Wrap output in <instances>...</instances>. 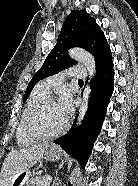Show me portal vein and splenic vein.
<instances>
[{
  "instance_id": "obj_1",
  "label": "portal vein and splenic vein",
  "mask_w": 138,
  "mask_h": 186,
  "mask_svg": "<svg viewBox=\"0 0 138 186\" xmlns=\"http://www.w3.org/2000/svg\"><path fill=\"white\" fill-rule=\"evenodd\" d=\"M51 180H52V177L48 176L47 179L44 181L43 186H49Z\"/></svg>"
}]
</instances>
